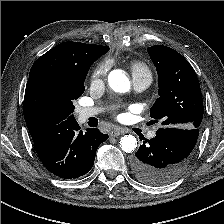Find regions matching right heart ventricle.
<instances>
[{"mask_svg":"<svg viewBox=\"0 0 224 224\" xmlns=\"http://www.w3.org/2000/svg\"><path fill=\"white\" fill-rule=\"evenodd\" d=\"M131 71H132V75L135 76H140V75H147V76H151L150 73V69L149 67L141 61H133L131 63Z\"/></svg>","mask_w":224,"mask_h":224,"instance_id":"e07e8e85","label":"right heart ventricle"}]
</instances>
